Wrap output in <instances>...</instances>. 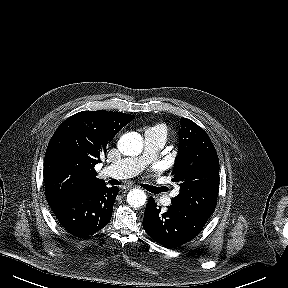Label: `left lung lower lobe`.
Segmentation results:
<instances>
[{"label":"left lung lower lobe","mask_w":288,"mask_h":288,"mask_svg":"<svg viewBox=\"0 0 288 288\" xmlns=\"http://www.w3.org/2000/svg\"><path fill=\"white\" fill-rule=\"evenodd\" d=\"M209 217L176 204L161 211L153 197L146 206L143 227L147 234L167 248H175L194 239Z\"/></svg>","instance_id":"1"}]
</instances>
